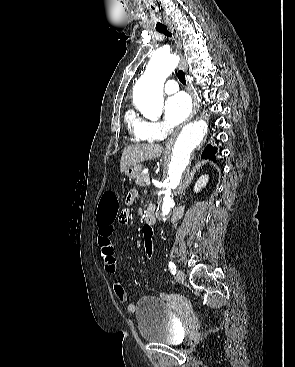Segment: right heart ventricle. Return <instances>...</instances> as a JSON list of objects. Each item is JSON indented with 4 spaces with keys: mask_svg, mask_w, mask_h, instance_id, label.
<instances>
[{
    "mask_svg": "<svg viewBox=\"0 0 295 367\" xmlns=\"http://www.w3.org/2000/svg\"><path fill=\"white\" fill-rule=\"evenodd\" d=\"M125 122L127 128L133 138L138 142H150L154 140L148 131V123L146 120L137 115L134 110L129 109L125 114Z\"/></svg>",
    "mask_w": 295,
    "mask_h": 367,
    "instance_id": "e07e8e85",
    "label": "right heart ventricle"
}]
</instances>
